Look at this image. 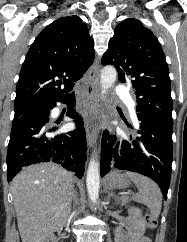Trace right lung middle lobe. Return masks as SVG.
Wrapping results in <instances>:
<instances>
[{
  "instance_id": "1",
  "label": "right lung middle lobe",
  "mask_w": 187,
  "mask_h": 242,
  "mask_svg": "<svg viewBox=\"0 0 187 242\" xmlns=\"http://www.w3.org/2000/svg\"><path fill=\"white\" fill-rule=\"evenodd\" d=\"M44 106L45 105H30V106L16 107L14 108L15 109L14 118H17L27 113H30L32 111L38 110Z\"/></svg>"
}]
</instances>
